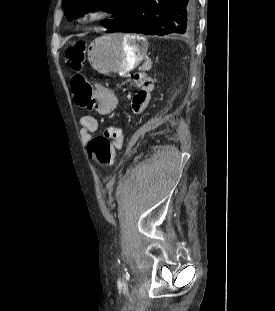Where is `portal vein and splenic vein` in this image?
<instances>
[{
    "mask_svg": "<svg viewBox=\"0 0 275 311\" xmlns=\"http://www.w3.org/2000/svg\"><path fill=\"white\" fill-rule=\"evenodd\" d=\"M151 63L147 61V67L150 68Z\"/></svg>",
    "mask_w": 275,
    "mask_h": 311,
    "instance_id": "obj_1",
    "label": "portal vein and splenic vein"
}]
</instances>
